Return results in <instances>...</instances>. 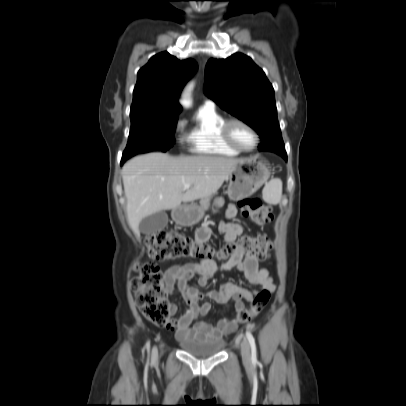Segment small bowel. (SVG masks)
<instances>
[{
	"instance_id": "c3829d8e",
	"label": "small bowel",
	"mask_w": 406,
	"mask_h": 406,
	"mask_svg": "<svg viewBox=\"0 0 406 406\" xmlns=\"http://www.w3.org/2000/svg\"><path fill=\"white\" fill-rule=\"evenodd\" d=\"M236 214L237 207L230 204L226 210L227 220L219 224V231L227 243L235 242L244 231L241 224L230 221ZM211 233L209 227H201L197 231L196 241L199 243L206 242ZM231 269H237L242 273L252 286L268 290L275 288L268 269L260 267L258 258L254 256H246L244 259L233 257L221 265H217L212 260L203 259L199 263L174 265L166 270L164 278L168 292L172 293L177 289L182 294L186 304L184 313L165 326L167 330L175 331L178 340L218 341L225 334L237 328L238 323L234 319L225 318L216 324L205 320L204 317L210 313L212 305L209 302L200 304V301L205 297L222 304H228L232 301L235 309L239 311L244 307L243 299L251 300L257 292L256 289L250 290L231 282H225L219 291L204 294L191 284V280L195 276H199V285L206 286L217 272ZM175 312L176 307L172 306V313Z\"/></svg>"
}]
</instances>
